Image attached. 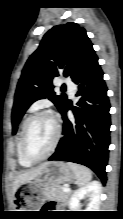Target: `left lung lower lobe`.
I'll use <instances>...</instances> for the list:
<instances>
[{"instance_id": "obj_1", "label": "left lung lower lobe", "mask_w": 123, "mask_h": 219, "mask_svg": "<svg viewBox=\"0 0 123 219\" xmlns=\"http://www.w3.org/2000/svg\"><path fill=\"white\" fill-rule=\"evenodd\" d=\"M73 82L78 85L76 96L80 99L76 107L72 108L67 101L62 109L63 136L49 160L85 165L105 184L110 145V103L97 56L82 67ZM69 108L75 116L72 121L66 115Z\"/></svg>"}]
</instances>
